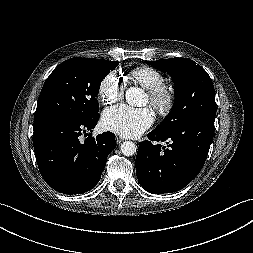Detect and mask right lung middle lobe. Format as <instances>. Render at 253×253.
I'll return each instance as SVG.
<instances>
[{
    "label": "right lung middle lobe",
    "mask_w": 253,
    "mask_h": 253,
    "mask_svg": "<svg viewBox=\"0 0 253 253\" xmlns=\"http://www.w3.org/2000/svg\"><path fill=\"white\" fill-rule=\"evenodd\" d=\"M119 62L71 58L57 66L41 90L34 119L46 115L86 121L99 116L96 99L104 77Z\"/></svg>",
    "instance_id": "dd1d6c3e"
}]
</instances>
